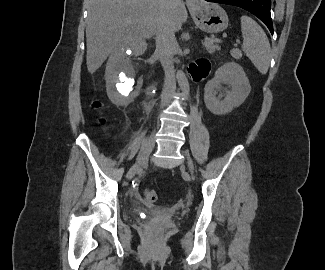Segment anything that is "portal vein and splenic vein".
<instances>
[{
	"instance_id": "18ae733b",
	"label": "portal vein and splenic vein",
	"mask_w": 325,
	"mask_h": 270,
	"mask_svg": "<svg viewBox=\"0 0 325 270\" xmlns=\"http://www.w3.org/2000/svg\"><path fill=\"white\" fill-rule=\"evenodd\" d=\"M220 41H221V40H219V39H205V41L203 42V45H204L205 47H209V46H210V43L220 42ZM239 43H240V41L237 40L235 45H237V44H239Z\"/></svg>"
}]
</instances>
